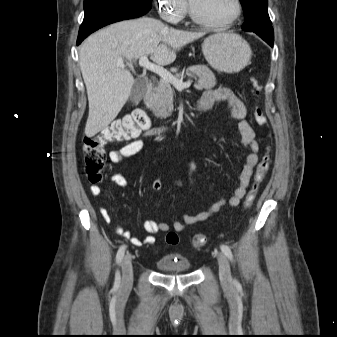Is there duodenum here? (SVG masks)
I'll return each mask as SVG.
<instances>
[{"label": "duodenum", "mask_w": 337, "mask_h": 337, "mask_svg": "<svg viewBox=\"0 0 337 337\" xmlns=\"http://www.w3.org/2000/svg\"><path fill=\"white\" fill-rule=\"evenodd\" d=\"M152 83H153V79L148 78L147 81H146V87L144 89V93H143V97H142V103H143L144 107H147L149 105V98H150V93H151V89H152ZM197 107L201 111L207 110L206 108H202L199 105ZM132 116L135 119H139L140 117H146L145 111L142 110V109H138V110L134 111ZM141 128L147 134L159 135V134H162V133H165V132L169 131L172 128V126L166 125V126L152 127L149 124H145Z\"/></svg>", "instance_id": "duodenum-1"}]
</instances>
